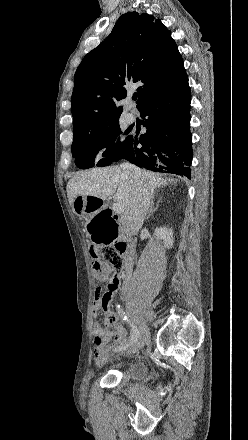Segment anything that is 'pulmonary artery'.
<instances>
[{"mask_svg":"<svg viewBox=\"0 0 248 440\" xmlns=\"http://www.w3.org/2000/svg\"><path fill=\"white\" fill-rule=\"evenodd\" d=\"M126 105L130 109L131 108V101L127 100L126 101ZM135 118H136V116H135V113L133 111H129L126 114V120H127L128 123H133L135 121Z\"/></svg>","mask_w":248,"mask_h":440,"instance_id":"pulmonary-artery-1","label":"pulmonary artery"}]
</instances>
